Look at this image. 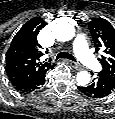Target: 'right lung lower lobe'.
Returning a JSON list of instances; mask_svg holds the SVG:
<instances>
[{
  "label": "right lung lower lobe",
  "mask_w": 115,
  "mask_h": 119,
  "mask_svg": "<svg viewBox=\"0 0 115 119\" xmlns=\"http://www.w3.org/2000/svg\"><path fill=\"white\" fill-rule=\"evenodd\" d=\"M45 74L40 75L39 77L35 78L32 81H29L27 83L18 85V86H14L15 89H17L18 91L22 92V93H30L33 92L37 89H39L45 82Z\"/></svg>",
  "instance_id": "1"
}]
</instances>
